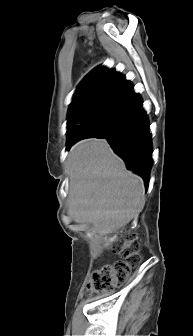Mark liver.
<instances>
[{
	"instance_id": "liver-1",
	"label": "liver",
	"mask_w": 193,
	"mask_h": 336,
	"mask_svg": "<svg viewBox=\"0 0 193 336\" xmlns=\"http://www.w3.org/2000/svg\"><path fill=\"white\" fill-rule=\"evenodd\" d=\"M65 171L69 178L68 215L93 232L109 235L138 216L145 204L143 180L104 139H85L69 151Z\"/></svg>"
}]
</instances>
